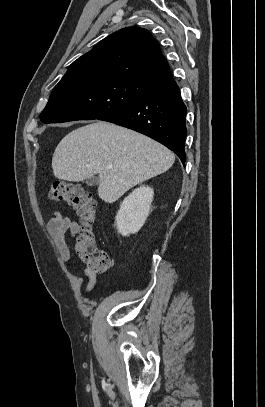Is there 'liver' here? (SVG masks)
Wrapping results in <instances>:
<instances>
[{
    "mask_svg": "<svg viewBox=\"0 0 265 407\" xmlns=\"http://www.w3.org/2000/svg\"><path fill=\"white\" fill-rule=\"evenodd\" d=\"M174 161V154L155 140L97 121L71 131L60 141L52 168L56 178L70 182L98 174L99 197L113 203L130 188L166 172Z\"/></svg>",
    "mask_w": 265,
    "mask_h": 407,
    "instance_id": "liver-1",
    "label": "liver"
}]
</instances>
